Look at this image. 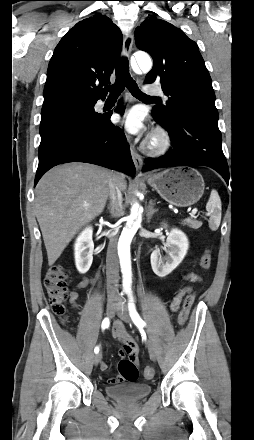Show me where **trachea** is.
Wrapping results in <instances>:
<instances>
[{"label":"trachea","mask_w":254,"mask_h":440,"mask_svg":"<svg viewBox=\"0 0 254 440\" xmlns=\"http://www.w3.org/2000/svg\"><path fill=\"white\" fill-rule=\"evenodd\" d=\"M116 81L111 86H108L107 89L110 92L109 98H118V96L122 93L124 88L126 87L131 94L142 100H158L157 97L148 96L141 92L138 88L137 83L131 77L129 73V63L127 58H122L116 64Z\"/></svg>","instance_id":"trachea-1"}]
</instances>
